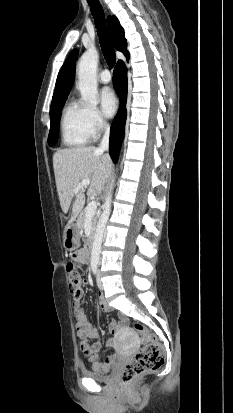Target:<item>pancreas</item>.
Here are the masks:
<instances>
[{"instance_id": "pancreas-1", "label": "pancreas", "mask_w": 233, "mask_h": 413, "mask_svg": "<svg viewBox=\"0 0 233 413\" xmlns=\"http://www.w3.org/2000/svg\"><path fill=\"white\" fill-rule=\"evenodd\" d=\"M86 219H87L86 218V209H84L80 212V215L77 219V226L79 227L80 230L84 229V224H85ZM96 224H97V217L95 215H93L91 217V234L88 237L87 243H90V241L93 238L94 231H95V228H96Z\"/></svg>"}]
</instances>
